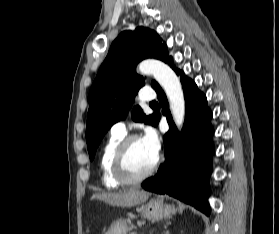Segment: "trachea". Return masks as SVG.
Masks as SVG:
<instances>
[{
  "label": "trachea",
  "mask_w": 279,
  "mask_h": 234,
  "mask_svg": "<svg viewBox=\"0 0 279 234\" xmlns=\"http://www.w3.org/2000/svg\"><path fill=\"white\" fill-rule=\"evenodd\" d=\"M158 103L156 101H153L150 103V105H157Z\"/></svg>",
  "instance_id": "obj_1"
}]
</instances>
